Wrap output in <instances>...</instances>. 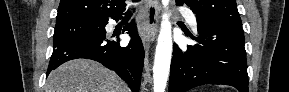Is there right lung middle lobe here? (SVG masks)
Masks as SVG:
<instances>
[{
  "instance_id": "1",
  "label": "right lung middle lobe",
  "mask_w": 289,
  "mask_h": 92,
  "mask_svg": "<svg viewBox=\"0 0 289 92\" xmlns=\"http://www.w3.org/2000/svg\"><path fill=\"white\" fill-rule=\"evenodd\" d=\"M104 31L103 21H70L59 23L55 25L53 47L73 39L96 36Z\"/></svg>"
}]
</instances>
